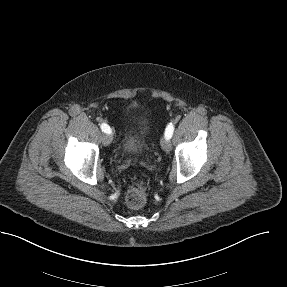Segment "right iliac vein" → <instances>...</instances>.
Masks as SVG:
<instances>
[{
    "label": "right iliac vein",
    "mask_w": 287,
    "mask_h": 287,
    "mask_svg": "<svg viewBox=\"0 0 287 287\" xmlns=\"http://www.w3.org/2000/svg\"><path fill=\"white\" fill-rule=\"evenodd\" d=\"M112 135H110V134H105V135H103V137H102V143L105 145V146H108V145H110L111 144V142H112Z\"/></svg>",
    "instance_id": "right-iliac-vein-1"
}]
</instances>
